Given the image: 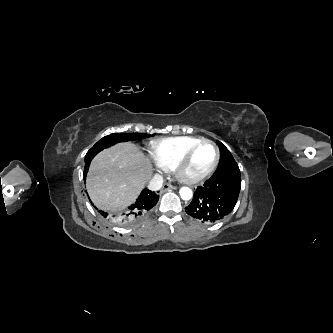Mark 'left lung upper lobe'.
Returning a JSON list of instances; mask_svg holds the SVG:
<instances>
[{"label":"left lung upper lobe","instance_id":"obj_1","mask_svg":"<svg viewBox=\"0 0 333 333\" xmlns=\"http://www.w3.org/2000/svg\"><path fill=\"white\" fill-rule=\"evenodd\" d=\"M218 146L220 149L221 157H220V163H219V167H218L217 171L222 170V169H227L232 166H236L237 163L234 160L230 151L221 142H218Z\"/></svg>","mask_w":333,"mask_h":333}]
</instances>
